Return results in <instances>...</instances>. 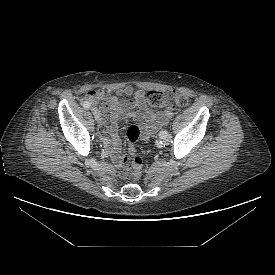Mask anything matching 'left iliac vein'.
<instances>
[{
    "mask_svg": "<svg viewBox=\"0 0 275 275\" xmlns=\"http://www.w3.org/2000/svg\"><path fill=\"white\" fill-rule=\"evenodd\" d=\"M161 139H162L163 144L168 145L171 140V136L166 135V136L162 137Z\"/></svg>",
    "mask_w": 275,
    "mask_h": 275,
    "instance_id": "left-iliac-vein-1",
    "label": "left iliac vein"
}]
</instances>
